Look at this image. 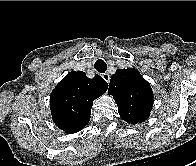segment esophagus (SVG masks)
<instances>
[{
  "label": "esophagus",
  "mask_w": 196,
  "mask_h": 166,
  "mask_svg": "<svg viewBox=\"0 0 196 166\" xmlns=\"http://www.w3.org/2000/svg\"><path fill=\"white\" fill-rule=\"evenodd\" d=\"M102 77H103V79H104L107 83H109V81H110V75H109L108 73L102 74Z\"/></svg>",
  "instance_id": "obj_1"
}]
</instances>
